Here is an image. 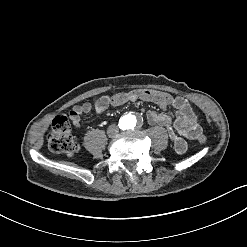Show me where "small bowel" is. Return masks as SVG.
<instances>
[{"label": "small bowel", "mask_w": 247, "mask_h": 247, "mask_svg": "<svg viewBox=\"0 0 247 247\" xmlns=\"http://www.w3.org/2000/svg\"><path fill=\"white\" fill-rule=\"evenodd\" d=\"M116 101L122 102L123 95L117 94ZM110 105L111 101L108 95L98 97L92 102L75 105L69 112L70 121L75 128H79L84 114L94 111L102 115ZM172 107L176 109L174 116L149 110L145 113V117L150 125L166 127L176 153L183 155L188 148L187 141L197 139L198 134L202 131V126L196 122V116L186 99L175 97Z\"/></svg>", "instance_id": "1"}]
</instances>
